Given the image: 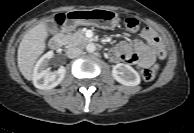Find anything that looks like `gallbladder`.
Instances as JSON below:
<instances>
[{
    "label": "gallbladder",
    "instance_id": "1",
    "mask_svg": "<svg viewBox=\"0 0 194 133\" xmlns=\"http://www.w3.org/2000/svg\"><path fill=\"white\" fill-rule=\"evenodd\" d=\"M49 27H50L54 32H58V23H57L54 19L49 20Z\"/></svg>",
    "mask_w": 194,
    "mask_h": 133
}]
</instances>
